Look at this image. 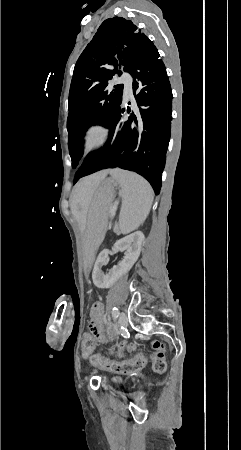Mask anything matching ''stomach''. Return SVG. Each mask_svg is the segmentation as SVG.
Wrapping results in <instances>:
<instances>
[{
    "label": "stomach",
    "instance_id": "obj_1",
    "mask_svg": "<svg viewBox=\"0 0 241 450\" xmlns=\"http://www.w3.org/2000/svg\"><path fill=\"white\" fill-rule=\"evenodd\" d=\"M115 186L114 180H103L93 195L88 213L87 228L82 241L81 258L85 275H88L96 252L104 238L109 210L115 198Z\"/></svg>",
    "mask_w": 241,
    "mask_h": 450
}]
</instances>
